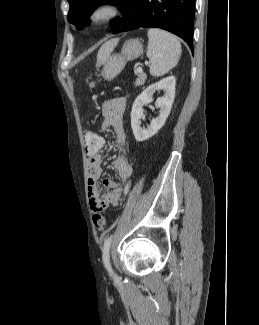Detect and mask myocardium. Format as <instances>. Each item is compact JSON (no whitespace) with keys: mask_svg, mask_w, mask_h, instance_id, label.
Listing matches in <instances>:
<instances>
[{"mask_svg":"<svg viewBox=\"0 0 259 325\" xmlns=\"http://www.w3.org/2000/svg\"><path fill=\"white\" fill-rule=\"evenodd\" d=\"M120 11V4L116 1H98L90 7L87 13V21L94 26L102 25L117 18Z\"/></svg>","mask_w":259,"mask_h":325,"instance_id":"1","label":"myocardium"}]
</instances>
